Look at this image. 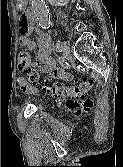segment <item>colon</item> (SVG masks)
<instances>
[{"mask_svg":"<svg viewBox=\"0 0 123 167\" xmlns=\"http://www.w3.org/2000/svg\"><path fill=\"white\" fill-rule=\"evenodd\" d=\"M18 62L19 67L26 70L25 81L29 85L39 86L43 92L65 99L66 107L76 115L90 109L91 102L86 99V95L92 88L91 80L83 79L73 84L43 81L36 70L28 69L30 57L26 51L19 52Z\"/></svg>","mask_w":123,"mask_h":167,"instance_id":"1","label":"colon"}]
</instances>
